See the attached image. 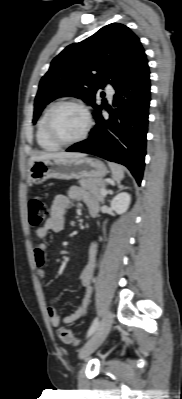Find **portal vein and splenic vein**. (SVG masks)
<instances>
[{
    "label": "portal vein and splenic vein",
    "mask_w": 182,
    "mask_h": 399,
    "mask_svg": "<svg viewBox=\"0 0 182 399\" xmlns=\"http://www.w3.org/2000/svg\"><path fill=\"white\" fill-rule=\"evenodd\" d=\"M102 194H103V195H106V194H107V191H106V190H102Z\"/></svg>",
    "instance_id": "1"
}]
</instances>
